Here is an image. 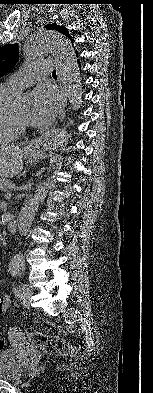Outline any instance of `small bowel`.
Listing matches in <instances>:
<instances>
[{"instance_id": "c3829d8e", "label": "small bowel", "mask_w": 153, "mask_h": 393, "mask_svg": "<svg viewBox=\"0 0 153 393\" xmlns=\"http://www.w3.org/2000/svg\"><path fill=\"white\" fill-rule=\"evenodd\" d=\"M0 301L5 304V308H0V317L5 313V311L10 307L11 305V297L9 295H4L0 298ZM18 334V337L21 339L22 335L19 331L15 330Z\"/></svg>"}]
</instances>
